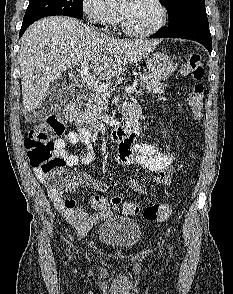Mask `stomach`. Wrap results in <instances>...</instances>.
I'll return each mask as SVG.
<instances>
[{
  "label": "stomach",
  "instance_id": "obj_1",
  "mask_svg": "<svg viewBox=\"0 0 233 294\" xmlns=\"http://www.w3.org/2000/svg\"><path fill=\"white\" fill-rule=\"evenodd\" d=\"M146 64L151 78L156 80H165L175 71L174 62L162 52L147 55Z\"/></svg>",
  "mask_w": 233,
  "mask_h": 294
}]
</instances>
